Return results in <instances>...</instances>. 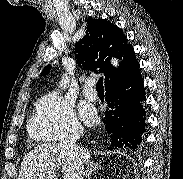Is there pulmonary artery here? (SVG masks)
I'll return each instance as SVG.
<instances>
[{
    "mask_svg": "<svg viewBox=\"0 0 183 179\" xmlns=\"http://www.w3.org/2000/svg\"><path fill=\"white\" fill-rule=\"evenodd\" d=\"M93 86H94V80L87 79L83 87L84 96L90 100H95L97 98V92L94 90Z\"/></svg>",
    "mask_w": 183,
    "mask_h": 179,
    "instance_id": "obj_1",
    "label": "pulmonary artery"
}]
</instances>
